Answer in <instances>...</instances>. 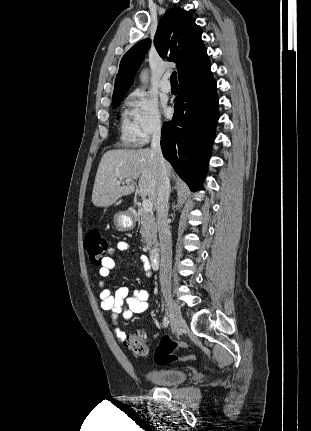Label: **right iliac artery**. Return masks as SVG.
<instances>
[{"instance_id": "right-iliac-artery-1", "label": "right iliac artery", "mask_w": 311, "mask_h": 431, "mask_svg": "<svg viewBox=\"0 0 311 431\" xmlns=\"http://www.w3.org/2000/svg\"><path fill=\"white\" fill-rule=\"evenodd\" d=\"M163 324L165 327H167L169 325V319H168V316H166V315L163 318Z\"/></svg>"}]
</instances>
